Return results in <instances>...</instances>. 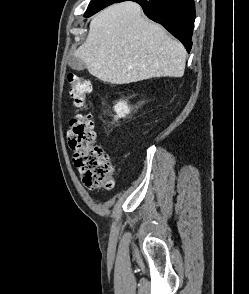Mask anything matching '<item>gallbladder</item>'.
Listing matches in <instances>:
<instances>
[{
    "label": "gallbladder",
    "mask_w": 249,
    "mask_h": 294,
    "mask_svg": "<svg viewBox=\"0 0 249 294\" xmlns=\"http://www.w3.org/2000/svg\"><path fill=\"white\" fill-rule=\"evenodd\" d=\"M68 65L77 71H82L86 68L84 61L76 56H71L68 61Z\"/></svg>",
    "instance_id": "1"
}]
</instances>
